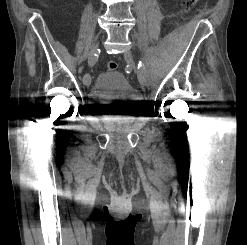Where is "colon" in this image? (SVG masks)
I'll list each match as a JSON object with an SVG mask.
<instances>
[{"label":"colon","mask_w":247,"mask_h":245,"mask_svg":"<svg viewBox=\"0 0 247 245\" xmlns=\"http://www.w3.org/2000/svg\"><path fill=\"white\" fill-rule=\"evenodd\" d=\"M198 2V0H184L183 1V10L184 11H189L196 3ZM107 68L109 70H116L118 68V64L115 61H108L107 62Z\"/></svg>","instance_id":"1"}]
</instances>
